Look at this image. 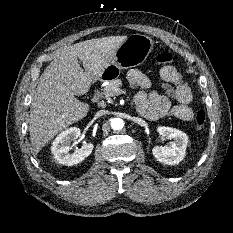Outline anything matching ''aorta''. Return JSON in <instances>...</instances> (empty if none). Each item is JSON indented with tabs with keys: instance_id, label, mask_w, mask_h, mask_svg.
I'll return each instance as SVG.
<instances>
[{
	"instance_id": "762f6f07",
	"label": "aorta",
	"mask_w": 233,
	"mask_h": 233,
	"mask_svg": "<svg viewBox=\"0 0 233 233\" xmlns=\"http://www.w3.org/2000/svg\"><path fill=\"white\" fill-rule=\"evenodd\" d=\"M111 127L113 130H120L124 127V121L120 118H114L111 120Z\"/></svg>"
}]
</instances>
